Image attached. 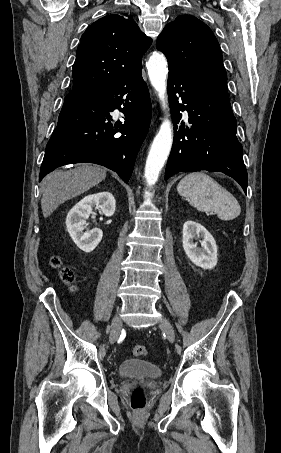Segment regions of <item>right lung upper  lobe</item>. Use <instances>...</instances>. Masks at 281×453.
<instances>
[{"label":"right lung upper lobe","instance_id":"obj_1","mask_svg":"<svg viewBox=\"0 0 281 453\" xmlns=\"http://www.w3.org/2000/svg\"><path fill=\"white\" fill-rule=\"evenodd\" d=\"M151 42L130 16L100 18L81 37L72 70V89L120 82L142 66V56Z\"/></svg>","mask_w":281,"mask_h":453}]
</instances>
